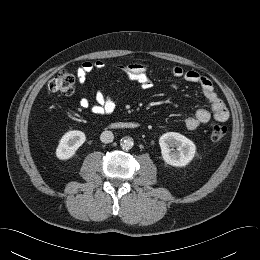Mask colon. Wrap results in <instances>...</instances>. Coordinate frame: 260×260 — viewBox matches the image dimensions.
<instances>
[{"label": "colon", "instance_id": "1", "mask_svg": "<svg viewBox=\"0 0 260 260\" xmlns=\"http://www.w3.org/2000/svg\"><path fill=\"white\" fill-rule=\"evenodd\" d=\"M75 79L72 73L68 71H59L47 85L49 93H61L64 95L72 94L74 91ZM227 134V127L223 124H214L210 130V136L213 141L222 140Z\"/></svg>", "mask_w": 260, "mask_h": 260}]
</instances>
